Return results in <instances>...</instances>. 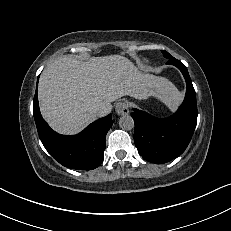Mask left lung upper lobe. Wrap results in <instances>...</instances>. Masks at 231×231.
Returning a JSON list of instances; mask_svg holds the SVG:
<instances>
[{"instance_id":"1","label":"left lung upper lobe","mask_w":231,"mask_h":231,"mask_svg":"<svg viewBox=\"0 0 231 231\" xmlns=\"http://www.w3.org/2000/svg\"><path fill=\"white\" fill-rule=\"evenodd\" d=\"M162 53H163L164 57L169 59V60L174 58L167 51H162Z\"/></svg>"}]
</instances>
